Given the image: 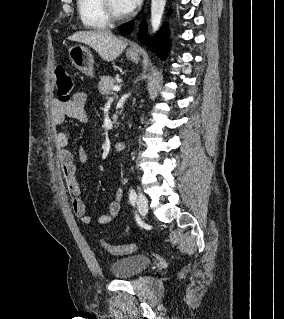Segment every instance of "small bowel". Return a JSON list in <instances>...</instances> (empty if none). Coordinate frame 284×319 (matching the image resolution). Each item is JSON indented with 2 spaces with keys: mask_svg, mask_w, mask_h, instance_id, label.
<instances>
[{
  "mask_svg": "<svg viewBox=\"0 0 284 319\" xmlns=\"http://www.w3.org/2000/svg\"><path fill=\"white\" fill-rule=\"evenodd\" d=\"M86 101V95L81 92L75 93L72 100L67 103L54 101L51 108V121L54 127V142L57 147V156L61 171L65 179L68 192L72 198V210L82 223L89 224L92 219L87 214L86 205L81 197L80 188L76 180V165L74 157L71 151L67 148L68 135L63 128L67 118L75 119L82 123L87 122L88 115L86 111ZM78 160L82 164L87 163L88 154L85 149H79ZM122 197L123 191L119 188L115 191L114 198L110 202L107 212L98 216L95 221L100 225L112 222L120 212Z\"/></svg>",
  "mask_w": 284,
  "mask_h": 319,
  "instance_id": "1",
  "label": "small bowel"
}]
</instances>
